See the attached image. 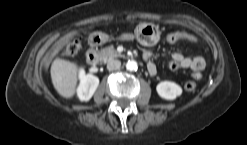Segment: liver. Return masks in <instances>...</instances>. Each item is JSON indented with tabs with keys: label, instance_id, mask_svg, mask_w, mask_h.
Returning <instances> with one entry per match:
<instances>
[{
	"label": "liver",
	"instance_id": "6515ba94",
	"mask_svg": "<svg viewBox=\"0 0 247 145\" xmlns=\"http://www.w3.org/2000/svg\"><path fill=\"white\" fill-rule=\"evenodd\" d=\"M51 79L55 90L64 98H72L76 92L78 65L56 58L51 64Z\"/></svg>",
	"mask_w": 247,
	"mask_h": 145
}]
</instances>
